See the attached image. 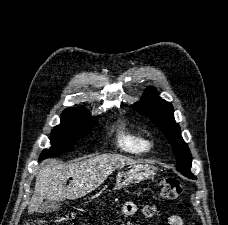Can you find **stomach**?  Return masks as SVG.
<instances>
[{
	"label": "stomach",
	"mask_w": 228,
	"mask_h": 225,
	"mask_svg": "<svg viewBox=\"0 0 228 225\" xmlns=\"http://www.w3.org/2000/svg\"><path fill=\"white\" fill-rule=\"evenodd\" d=\"M154 175V169L151 165L146 163H133V165H127L126 169H118L116 175L115 189L120 191L123 187H128L132 183H140L145 179H150Z\"/></svg>",
	"instance_id": "0dacf381"
}]
</instances>
